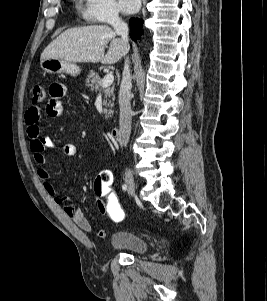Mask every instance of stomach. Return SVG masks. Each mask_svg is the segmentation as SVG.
Listing matches in <instances>:
<instances>
[{
    "mask_svg": "<svg viewBox=\"0 0 267 301\" xmlns=\"http://www.w3.org/2000/svg\"><path fill=\"white\" fill-rule=\"evenodd\" d=\"M40 67L47 73H65L76 77L80 74V67L73 62L61 59H46L40 62Z\"/></svg>",
    "mask_w": 267,
    "mask_h": 301,
    "instance_id": "1",
    "label": "stomach"
}]
</instances>
